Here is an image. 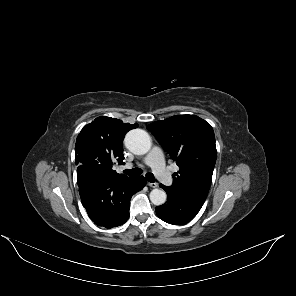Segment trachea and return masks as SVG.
I'll return each mask as SVG.
<instances>
[{"mask_svg": "<svg viewBox=\"0 0 296 296\" xmlns=\"http://www.w3.org/2000/svg\"><path fill=\"white\" fill-rule=\"evenodd\" d=\"M123 172L130 177H135V176H139L142 173V170L140 168H134V169L124 170ZM146 178L151 183L155 182V177L152 173H147Z\"/></svg>", "mask_w": 296, "mask_h": 296, "instance_id": "1", "label": "trachea"}]
</instances>
